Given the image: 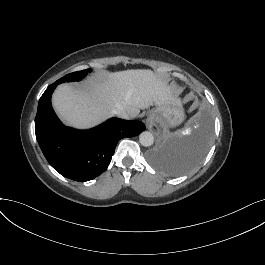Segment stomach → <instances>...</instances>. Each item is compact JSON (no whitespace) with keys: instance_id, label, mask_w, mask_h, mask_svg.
Instances as JSON below:
<instances>
[{"instance_id":"obj_1","label":"stomach","mask_w":265,"mask_h":265,"mask_svg":"<svg viewBox=\"0 0 265 265\" xmlns=\"http://www.w3.org/2000/svg\"><path fill=\"white\" fill-rule=\"evenodd\" d=\"M184 110L181 104H168L152 109L150 118L164 128L175 127L184 120Z\"/></svg>"}]
</instances>
